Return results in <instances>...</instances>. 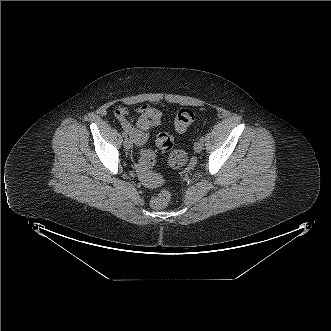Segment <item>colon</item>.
Wrapping results in <instances>:
<instances>
[{
  "label": "colon",
  "instance_id": "colon-1",
  "mask_svg": "<svg viewBox=\"0 0 331 331\" xmlns=\"http://www.w3.org/2000/svg\"><path fill=\"white\" fill-rule=\"evenodd\" d=\"M195 114L193 110L188 108L180 109L174 117V126L178 131L186 130L194 121ZM161 120V115L155 108L144 110L139 115V126L143 137L147 135V131L156 127ZM156 144L162 152H169V163L172 168L182 170L187 166L188 157L185 152L175 150L174 141L170 134L162 132L156 138ZM170 193L161 191L151 199V205L155 209L166 207L170 201Z\"/></svg>",
  "mask_w": 331,
  "mask_h": 331
}]
</instances>
